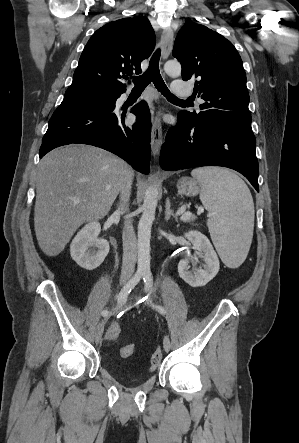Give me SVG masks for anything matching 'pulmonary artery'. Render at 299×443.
Returning <instances> with one entry per match:
<instances>
[{
	"label": "pulmonary artery",
	"instance_id": "e3ab8cb5",
	"mask_svg": "<svg viewBox=\"0 0 299 443\" xmlns=\"http://www.w3.org/2000/svg\"><path fill=\"white\" fill-rule=\"evenodd\" d=\"M172 92L179 97H188L192 94L191 88L180 80H175L172 83Z\"/></svg>",
	"mask_w": 299,
	"mask_h": 443
}]
</instances>
